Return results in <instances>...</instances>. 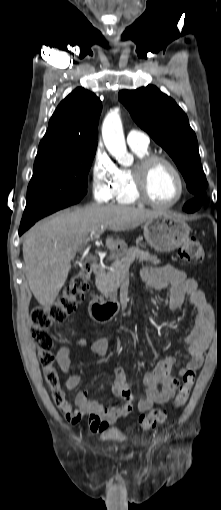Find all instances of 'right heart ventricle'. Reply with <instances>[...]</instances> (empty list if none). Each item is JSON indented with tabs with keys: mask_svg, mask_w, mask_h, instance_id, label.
<instances>
[{
	"mask_svg": "<svg viewBox=\"0 0 221 510\" xmlns=\"http://www.w3.org/2000/svg\"><path fill=\"white\" fill-rule=\"evenodd\" d=\"M133 153L138 159L150 154L148 146H130ZM133 168H117V186L114 193V199L121 204H134L138 202V199L134 193L133 187Z\"/></svg>",
	"mask_w": 221,
	"mask_h": 510,
	"instance_id": "1",
	"label": "right heart ventricle"
}]
</instances>
